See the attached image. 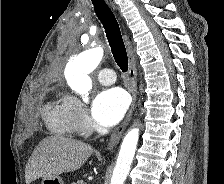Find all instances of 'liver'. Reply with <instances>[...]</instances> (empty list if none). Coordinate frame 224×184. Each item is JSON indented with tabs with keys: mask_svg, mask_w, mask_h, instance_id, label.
I'll return each instance as SVG.
<instances>
[{
	"mask_svg": "<svg viewBox=\"0 0 224 184\" xmlns=\"http://www.w3.org/2000/svg\"><path fill=\"white\" fill-rule=\"evenodd\" d=\"M93 153L84 142L54 135L44 138L33 151L25 168V181L53 178L80 169Z\"/></svg>",
	"mask_w": 224,
	"mask_h": 184,
	"instance_id": "1",
	"label": "liver"
}]
</instances>
